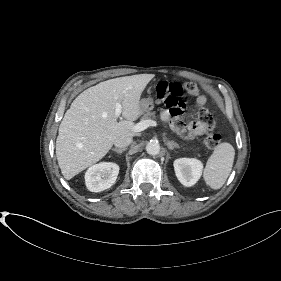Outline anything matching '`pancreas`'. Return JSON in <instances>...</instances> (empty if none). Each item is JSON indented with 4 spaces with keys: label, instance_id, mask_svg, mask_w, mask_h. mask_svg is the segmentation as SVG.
<instances>
[{
    "label": "pancreas",
    "instance_id": "cf45deb5",
    "mask_svg": "<svg viewBox=\"0 0 281 281\" xmlns=\"http://www.w3.org/2000/svg\"><path fill=\"white\" fill-rule=\"evenodd\" d=\"M155 118H156L155 112H147L142 116L141 120H148V119L153 120Z\"/></svg>",
    "mask_w": 281,
    "mask_h": 281
}]
</instances>
